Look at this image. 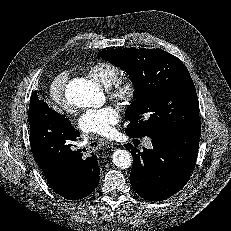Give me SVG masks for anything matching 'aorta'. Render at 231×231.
<instances>
[{"mask_svg":"<svg viewBox=\"0 0 231 231\" xmlns=\"http://www.w3.org/2000/svg\"><path fill=\"white\" fill-rule=\"evenodd\" d=\"M65 98L67 102L78 108H96L101 106L104 95L98 86L90 80L74 79L66 85ZM114 165L120 169H127L132 165L129 151L116 149L112 155Z\"/></svg>","mask_w":231,"mask_h":231,"instance_id":"762f6f07","label":"aorta"}]
</instances>
